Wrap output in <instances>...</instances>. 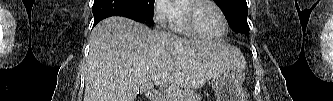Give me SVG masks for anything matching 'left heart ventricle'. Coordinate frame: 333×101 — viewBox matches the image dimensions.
Returning a JSON list of instances; mask_svg holds the SVG:
<instances>
[{
	"mask_svg": "<svg viewBox=\"0 0 333 101\" xmlns=\"http://www.w3.org/2000/svg\"><path fill=\"white\" fill-rule=\"evenodd\" d=\"M193 19L197 29L208 36H216L223 29L219 13L209 4H200L193 10Z\"/></svg>",
	"mask_w": 333,
	"mask_h": 101,
	"instance_id": "left-heart-ventricle-1",
	"label": "left heart ventricle"
}]
</instances>
